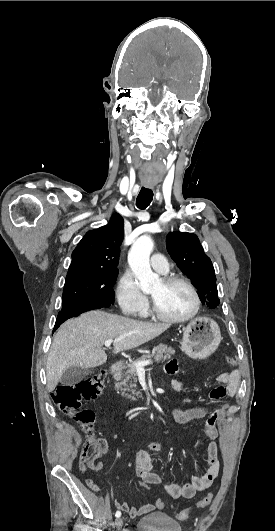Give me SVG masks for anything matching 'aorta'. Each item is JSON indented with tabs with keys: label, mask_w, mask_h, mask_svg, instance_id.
<instances>
[{
	"label": "aorta",
	"mask_w": 275,
	"mask_h": 531,
	"mask_svg": "<svg viewBox=\"0 0 275 531\" xmlns=\"http://www.w3.org/2000/svg\"><path fill=\"white\" fill-rule=\"evenodd\" d=\"M154 243L150 235H142L133 243L128 255L130 269L142 291H153L157 287H162V281L159 275L152 273L149 259L153 251Z\"/></svg>",
	"instance_id": "obj_1"
}]
</instances>
